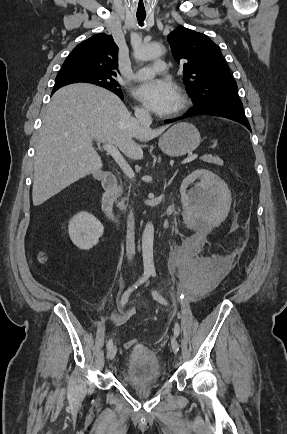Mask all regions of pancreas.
Wrapping results in <instances>:
<instances>
[{
    "label": "pancreas",
    "mask_w": 287,
    "mask_h": 434,
    "mask_svg": "<svg viewBox=\"0 0 287 434\" xmlns=\"http://www.w3.org/2000/svg\"><path fill=\"white\" fill-rule=\"evenodd\" d=\"M201 160L207 163H213L216 165H223V161L217 157V156H212V155H204L201 157ZM131 189V186H129V191ZM127 200L126 198H123L119 204L118 207L120 208V210H124L125 209V204L124 201Z\"/></svg>",
    "instance_id": "obj_1"
}]
</instances>
